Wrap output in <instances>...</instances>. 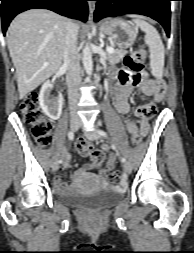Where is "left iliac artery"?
I'll return each instance as SVG.
<instances>
[{
	"label": "left iliac artery",
	"instance_id": "obj_1",
	"mask_svg": "<svg viewBox=\"0 0 194 253\" xmlns=\"http://www.w3.org/2000/svg\"><path fill=\"white\" fill-rule=\"evenodd\" d=\"M97 132L100 136L107 137V133L105 131L99 129ZM114 149L116 148L114 147ZM121 161L122 163H126V159L124 157H121Z\"/></svg>",
	"mask_w": 194,
	"mask_h": 253
}]
</instances>
